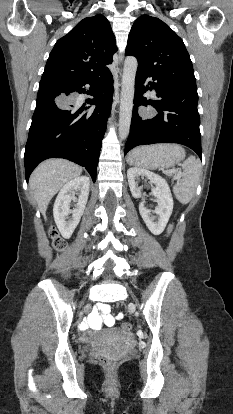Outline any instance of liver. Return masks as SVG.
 <instances>
[{
  "instance_id": "obj_1",
  "label": "liver",
  "mask_w": 233,
  "mask_h": 414,
  "mask_svg": "<svg viewBox=\"0 0 233 414\" xmlns=\"http://www.w3.org/2000/svg\"><path fill=\"white\" fill-rule=\"evenodd\" d=\"M81 173L80 166L64 159L46 160L33 171L29 186L42 214H45L53 196Z\"/></svg>"
}]
</instances>
